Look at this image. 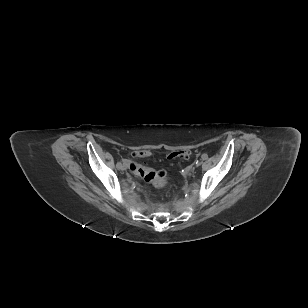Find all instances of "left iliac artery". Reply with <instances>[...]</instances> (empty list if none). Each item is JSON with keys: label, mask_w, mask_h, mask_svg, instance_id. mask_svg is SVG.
<instances>
[{"label": "left iliac artery", "mask_w": 308, "mask_h": 308, "mask_svg": "<svg viewBox=\"0 0 308 308\" xmlns=\"http://www.w3.org/2000/svg\"><path fill=\"white\" fill-rule=\"evenodd\" d=\"M202 159L205 160L206 159V154L202 155Z\"/></svg>", "instance_id": "left-iliac-artery-1"}]
</instances>
